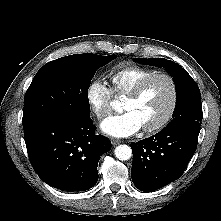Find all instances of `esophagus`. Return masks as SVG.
Here are the masks:
<instances>
[{"label":"esophagus","instance_id":"esophagus-1","mask_svg":"<svg viewBox=\"0 0 221 221\" xmlns=\"http://www.w3.org/2000/svg\"><path fill=\"white\" fill-rule=\"evenodd\" d=\"M111 142H112V144L115 146V145H118V144H120L122 141L121 140H119V139H112L111 140Z\"/></svg>","mask_w":221,"mask_h":221}]
</instances>
